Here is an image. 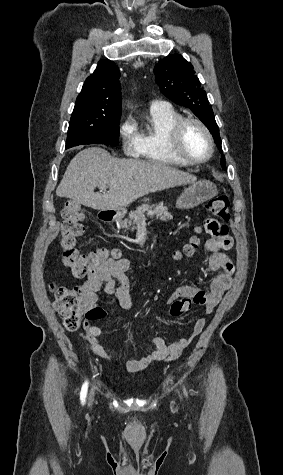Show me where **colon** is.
<instances>
[{"label": "colon", "instance_id": "1", "mask_svg": "<svg viewBox=\"0 0 283 475\" xmlns=\"http://www.w3.org/2000/svg\"><path fill=\"white\" fill-rule=\"evenodd\" d=\"M207 210L216 215L220 224H228L230 221L229 199L226 195H218L207 202ZM87 214L85 208L80 204L67 201L61 210V239L59 242L61 261L76 278H84L97 269L103 263L112 259H118L120 252L117 250L106 251L95 249L83 252L78 248L77 240L83 235V221ZM188 243L183 247V253L193 255L199 246V237L197 233L200 228L195 229ZM219 234V239H225V235ZM52 294L55 298L53 309L63 318L65 328L70 332L78 330L82 322V313L87 309L85 299L82 296L81 288L78 286H53ZM192 300L186 298L179 303L169 307L172 316L178 314H187Z\"/></svg>", "mask_w": 283, "mask_h": 475}]
</instances>
